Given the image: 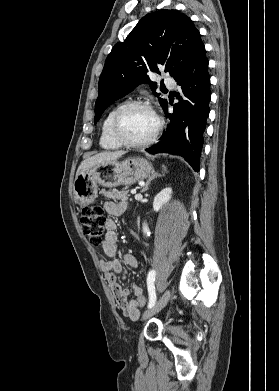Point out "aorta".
Here are the masks:
<instances>
[{
  "label": "aorta",
  "mask_w": 279,
  "mask_h": 391,
  "mask_svg": "<svg viewBox=\"0 0 279 391\" xmlns=\"http://www.w3.org/2000/svg\"><path fill=\"white\" fill-rule=\"evenodd\" d=\"M143 232L146 234V235H149V228L146 224L143 225Z\"/></svg>",
  "instance_id": "obj_1"
}]
</instances>
